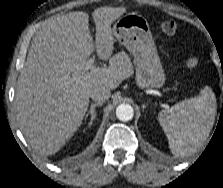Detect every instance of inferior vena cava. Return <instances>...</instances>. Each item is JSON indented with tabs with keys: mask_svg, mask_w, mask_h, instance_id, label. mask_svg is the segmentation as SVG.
<instances>
[{
	"mask_svg": "<svg viewBox=\"0 0 223 188\" xmlns=\"http://www.w3.org/2000/svg\"><path fill=\"white\" fill-rule=\"evenodd\" d=\"M111 92L110 89L107 87H98L94 88L91 91L90 97L93 101L97 103H102L110 98Z\"/></svg>",
	"mask_w": 223,
	"mask_h": 188,
	"instance_id": "602c4592",
	"label": "inferior vena cava"
}]
</instances>
